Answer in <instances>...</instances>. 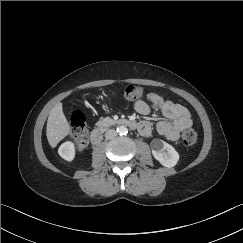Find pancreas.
Segmentation results:
<instances>
[{"instance_id":"cf45deb5","label":"pancreas","mask_w":243,"mask_h":243,"mask_svg":"<svg viewBox=\"0 0 243 243\" xmlns=\"http://www.w3.org/2000/svg\"><path fill=\"white\" fill-rule=\"evenodd\" d=\"M114 121L109 118V117H106V118H103L101 120H99L96 124V126L100 127V128H105V127H108L109 125H111Z\"/></svg>"}]
</instances>
